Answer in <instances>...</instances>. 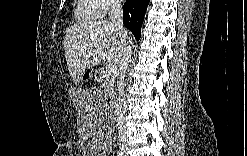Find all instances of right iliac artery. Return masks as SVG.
<instances>
[{"label":"right iliac artery","instance_id":"right-iliac-artery-1","mask_svg":"<svg viewBox=\"0 0 247 156\" xmlns=\"http://www.w3.org/2000/svg\"><path fill=\"white\" fill-rule=\"evenodd\" d=\"M117 155L122 156L123 154H122V152L118 151Z\"/></svg>","mask_w":247,"mask_h":156}]
</instances>
